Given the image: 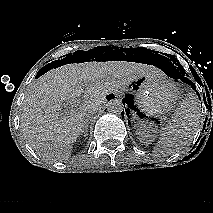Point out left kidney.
<instances>
[{
    "label": "left kidney",
    "mask_w": 213,
    "mask_h": 213,
    "mask_svg": "<svg viewBox=\"0 0 213 213\" xmlns=\"http://www.w3.org/2000/svg\"><path fill=\"white\" fill-rule=\"evenodd\" d=\"M154 128L152 125L146 123H139L137 126V134L140 137V141L145 144H149L152 138Z\"/></svg>",
    "instance_id": "1"
}]
</instances>
